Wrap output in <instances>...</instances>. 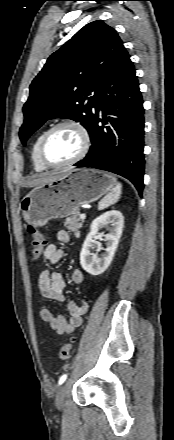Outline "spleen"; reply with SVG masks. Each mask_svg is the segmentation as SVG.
<instances>
[{"label":"spleen","instance_id":"spleen-1","mask_svg":"<svg viewBox=\"0 0 174 440\" xmlns=\"http://www.w3.org/2000/svg\"><path fill=\"white\" fill-rule=\"evenodd\" d=\"M121 193L122 185L121 183H118L116 187L99 202L98 209L103 210L110 205L115 204L120 199Z\"/></svg>","mask_w":174,"mask_h":440}]
</instances>
